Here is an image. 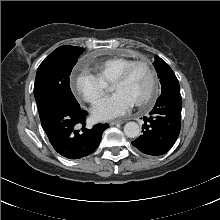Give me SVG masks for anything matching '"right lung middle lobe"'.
I'll list each match as a JSON object with an SVG mask.
<instances>
[{
	"label": "right lung middle lobe",
	"mask_w": 220,
	"mask_h": 220,
	"mask_svg": "<svg viewBox=\"0 0 220 220\" xmlns=\"http://www.w3.org/2000/svg\"><path fill=\"white\" fill-rule=\"evenodd\" d=\"M82 51L81 47L61 46L45 58L38 67L34 97L39 116L57 104L79 105L71 92L69 75Z\"/></svg>",
	"instance_id": "dd1d6c3e"
}]
</instances>
